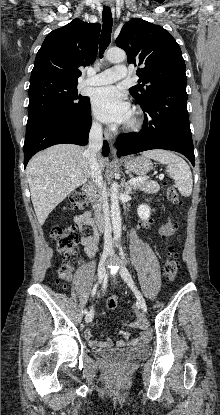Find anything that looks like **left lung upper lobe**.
Masks as SVG:
<instances>
[{
	"label": "left lung upper lobe",
	"mask_w": 220,
	"mask_h": 415,
	"mask_svg": "<svg viewBox=\"0 0 220 415\" xmlns=\"http://www.w3.org/2000/svg\"><path fill=\"white\" fill-rule=\"evenodd\" d=\"M116 44L126 51L129 63L141 66L137 69L141 84L130 88L140 105L159 90L186 87V66L181 49L164 28L134 18L122 27Z\"/></svg>",
	"instance_id": "left-lung-upper-lobe-1"
}]
</instances>
